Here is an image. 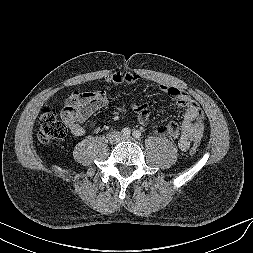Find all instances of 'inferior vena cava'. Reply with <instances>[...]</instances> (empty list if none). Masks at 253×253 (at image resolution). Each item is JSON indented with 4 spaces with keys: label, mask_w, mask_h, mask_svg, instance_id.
<instances>
[{
    "label": "inferior vena cava",
    "mask_w": 253,
    "mask_h": 253,
    "mask_svg": "<svg viewBox=\"0 0 253 253\" xmlns=\"http://www.w3.org/2000/svg\"><path fill=\"white\" fill-rule=\"evenodd\" d=\"M107 138L110 142H119L122 139L121 133L117 131H112L108 133Z\"/></svg>",
    "instance_id": "1"
}]
</instances>
